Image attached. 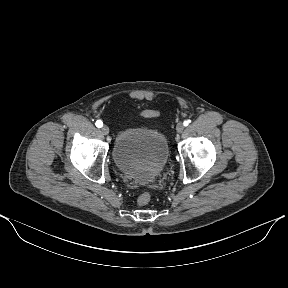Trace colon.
<instances>
[{"label":"colon","instance_id":"1","mask_svg":"<svg viewBox=\"0 0 288 288\" xmlns=\"http://www.w3.org/2000/svg\"><path fill=\"white\" fill-rule=\"evenodd\" d=\"M142 117H146V118H152V117H157L159 115V111L157 110H143L142 112H140L139 114ZM151 200V196L149 193L144 192L142 194H140L137 198V202L139 205H147Z\"/></svg>","mask_w":288,"mask_h":288}]
</instances>
